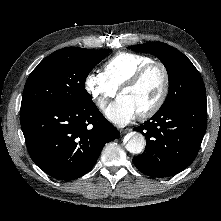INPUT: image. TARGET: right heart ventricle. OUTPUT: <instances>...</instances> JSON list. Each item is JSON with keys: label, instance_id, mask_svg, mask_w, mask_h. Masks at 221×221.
Masks as SVG:
<instances>
[{"label": "right heart ventricle", "instance_id": "right-heart-ventricle-1", "mask_svg": "<svg viewBox=\"0 0 221 221\" xmlns=\"http://www.w3.org/2000/svg\"><path fill=\"white\" fill-rule=\"evenodd\" d=\"M153 61L147 55L121 52L110 58L103 65V74L117 89L143 65Z\"/></svg>", "mask_w": 221, "mask_h": 221}]
</instances>
